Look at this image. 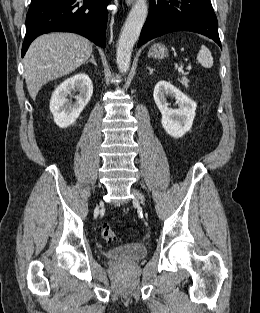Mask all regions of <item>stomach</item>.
Wrapping results in <instances>:
<instances>
[{"label": "stomach", "mask_w": 260, "mask_h": 313, "mask_svg": "<svg viewBox=\"0 0 260 313\" xmlns=\"http://www.w3.org/2000/svg\"><path fill=\"white\" fill-rule=\"evenodd\" d=\"M149 55L156 59H162L167 55V48L162 44H155L151 47Z\"/></svg>", "instance_id": "0dacf381"}]
</instances>
